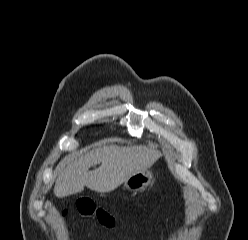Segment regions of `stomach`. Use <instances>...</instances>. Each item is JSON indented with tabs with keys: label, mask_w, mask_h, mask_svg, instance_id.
<instances>
[{
	"label": "stomach",
	"mask_w": 248,
	"mask_h": 240,
	"mask_svg": "<svg viewBox=\"0 0 248 240\" xmlns=\"http://www.w3.org/2000/svg\"><path fill=\"white\" fill-rule=\"evenodd\" d=\"M153 182V173L146 169L135 173L124 182V187L130 191H141Z\"/></svg>",
	"instance_id": "stomach-1"
}]
</instances>
